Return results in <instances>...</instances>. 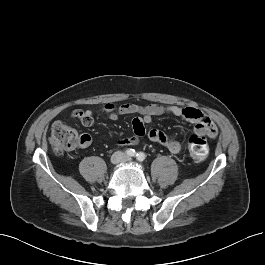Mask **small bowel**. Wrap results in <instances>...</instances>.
<instances>
[{"label":"small bowel","instance_id":"1","mask_svg":"<svg viewBox=\"0 0 265 265\" xmlns=\"http://www.w3.org/2000/svg\"><path fill=\"white\" fill-rule=\"evenodd\" d=\"M102 111L111 119L116 120L122 115L137 114L132 120L134 136L128 138H119L116 143L120 146L137 145L141 139L147 136L152 142L163 145L173 154H179L183 147L182 144L169 137L167 134L158 129L146 130L145 125L152 121L155 116L171 114L184 118L195 123V131L200 135L214 138L217 135V127L214 122L205 115L201 110L193 107H178L173 105L148 104L145 106L127 103L115 107L108 103L103 106ZM73 117L78 119L84 126H91L94 122L93 112L91 110H76ZM91 143V137L88 134L82 135V146L87 147Z\"/></svg>","mask_w":265,"mask_h":265}]
</instances>
